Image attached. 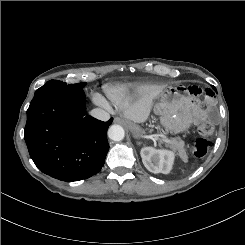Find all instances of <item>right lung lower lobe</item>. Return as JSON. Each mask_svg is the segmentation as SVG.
Returning a JSON list of instances; mask_svg holds the SVG:
<instances>
[{
	"label": "right lung lower lobe",
	"mask_w": 245,
	"mask_h": 245,
	"mask_svg": "<svg viewBox=\"0 0 245 245\" xmlns=\"http://www.w3.org/2000/svg\"><path fill=\"white\" fill-rule=\"evenodd\" d=\"M112 121L86 115L83 89L46 88L30 103L24 139L43 173L62 181H78L103 167Z\"/></svg>",
	"instance_id": "1"
}]
</instances>
